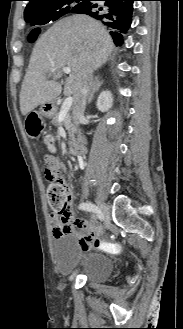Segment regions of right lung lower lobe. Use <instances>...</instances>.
<instances>
[{
	"label": "right lung lower lobe",
	"mask_w": 183,
	"mask_h": 329,
	"mask_svg": "<svg viewBox=\"0 0 183 329\" xmlns=\"http://www.w3.org/2000/svg\"><path fill=\"white\" fill-rule=\"evenodd\" d=\"M134 1L136 0H82V6L72 13L86 14L99 20L110 29L114 42L120 45L123 43L122 33L131 25Z\"/></svg>",
	"instance_id": "obj_1"
}]
</instances>
